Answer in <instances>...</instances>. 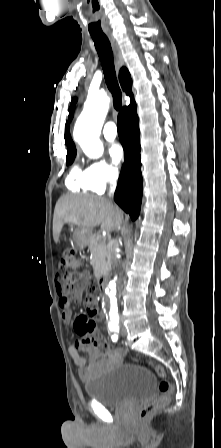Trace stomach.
Here are the masks:
<instances>
[{
	"label": "stomach",
	"instance_id": "1",
	"mask_svg": "<svg viewBox=\"0 0 221 448\" xmlns=\"http://www.w3.org/2000/svg\"><path fill=\"white\" fill-rule=\"evenodd\" d=\"M92 236L91 229L86 228H76L73 233L74 241L78 245H84L86 244Z\"/></svg>",
	"mask_w": 221,
	"mask_h": 448
}]
</instances>
